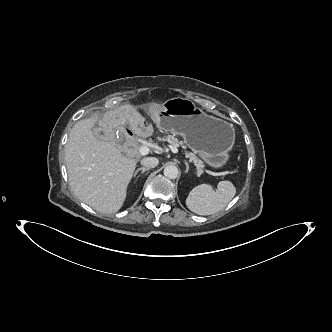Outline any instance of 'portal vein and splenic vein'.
<instances>
[{
	"mask_svg": "<svg viewBox=\"0 0 332 332\" xmlns=\"http://www.w3.org/2000/svg\"><path fill=\"white\" fill-rule=\"evenodd\" d=\"M171 151H172L173 153H178V149H177L176 146H175V147L172 146V147H171ZM149 152H150V149H149V147H147V146H141V147L139 148V153H140V155H147ZM186 157H188V155H186ZM202 173H203V171H202L201 169H197V176H198V177L201 176ZM212 175L216 176L215 173H212Z\"/></svg>",
	"mask_w": 332,
	"mask_h": 332,
	"instance_id": "obj_1",
	"label": "portal vein and splenic vein"
}]
</instances>
